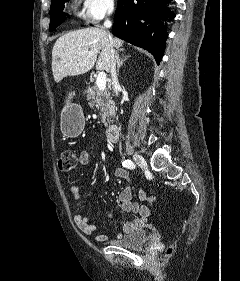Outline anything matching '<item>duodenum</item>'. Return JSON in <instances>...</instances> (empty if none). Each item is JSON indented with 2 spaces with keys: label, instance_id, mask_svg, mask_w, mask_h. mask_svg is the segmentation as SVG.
I'll return each instance as SVG.
<instances>
[{
  "label": "duodenum",
  "instance_id": "duodenum-1",
  "mask_svg": "<svg viewBox=\"0 0 240 281\" xmlns=\"http://www.w3.org/2000/svg\"><path fill=\"white\" fill-rule=\"evenodd\" d=\"M106 137L111 142H116L119 138V131L116 125H109L106 128Z\"/></svg>",
  "mask_w": 240,
  "mask_h": 281
}]
</instances>
